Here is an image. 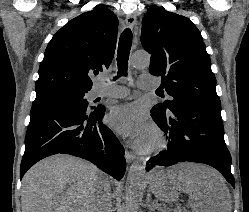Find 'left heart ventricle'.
<instances>
[{
    "instance_id": "left-heart-ventricle-1",
    "label": "left heart ventricle",
    "mask_w": 249,
    "mask_h": 212,
    "mask_svg": "<svg viewBox=\"0 0 249 212\" xmlns=\"http://www.w3.org/2000/svg\"><path fill=\"white\" fill-rule=\"evenodd\" d=\"M153 141V137L151 133H148L147 140H146V145L150 144Z\"/></svg>"
}]
</instances>
